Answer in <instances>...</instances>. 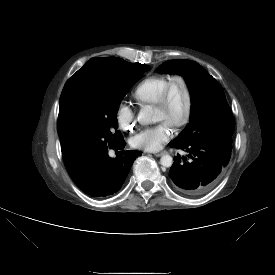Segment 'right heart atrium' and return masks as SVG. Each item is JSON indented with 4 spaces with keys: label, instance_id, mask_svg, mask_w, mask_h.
I'll list each match as a JSON object with an SVG mask.
<instances>
[{
    "label": "right heart atrium",
    "instance_id": "d8ad5b80",
    "mask_svg": "<svg viewBox=\"0 0 275 275\" xmlns=\"http://www.w3.org/2000/svg\"><path fill=\"white\" fill-rule=\"evenodd\" d=\"M117 125L123 130H130L135 121L134 110L125 102H120L115 110Z\"/></svg>",
    "mask_w": 275,
    "mask_h": 275
}]
</instances>
